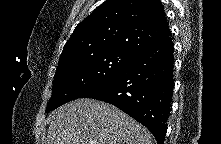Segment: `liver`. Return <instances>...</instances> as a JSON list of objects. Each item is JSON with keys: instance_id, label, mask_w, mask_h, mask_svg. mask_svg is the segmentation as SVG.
Segmentation results:
<instances>
[{"instance_id": "1", "label": "liver", "mask_w": 221, "mask_h": 144, "mask_svg": "<svg viewBox=\"0 0 221 144\" xmlns=\"http://www.w3.org/2000/svg\"><path fill=\"white\" fill-rule=\"evenodd\" d=\"M47 144H153L151 133L117 107L78 99L52 111Z\"/></svg>"}]
</instances>
